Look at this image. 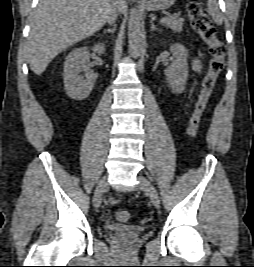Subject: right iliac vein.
Returning a JSON list of instances; mask_svg holds the SVG:
<instances>
[{
  "instance_id": "right-iliac-vein-1",
  "label": "right iliac vein",
  "mask_w": 254,
  "mask_h": 267,
  "mask_svg": "<svg viewBox=\"0 0 254 267\" xmlns=\"http://www.w3.org/2000/svg\"><path fill=\"white\" fill-rule=\"evenodd\" d=\"M107 186H108L107 178L104 177L99 181L97 188L95 190V193H94L93 203L96 208L100 206L103 193L107 189Z\"/></svg>"
}]
</instances>
